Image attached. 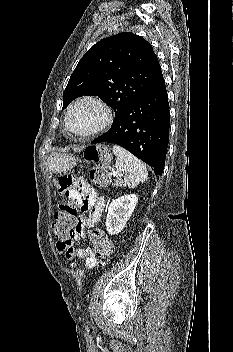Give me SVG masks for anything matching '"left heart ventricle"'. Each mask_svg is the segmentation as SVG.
Instances as JSON below:
<instances>
[{
	"label": "left heart ventricle",
	"instance_id": "obj_1",
	"mask_svg": "<svg viewBox=\"0 0 233 352\" xmlns=\"http://www.w3.org/2000/svg\"><path fill=\"white\" fill-rule=\"evenodd\" d=\"M102 110L95 104L83 103L71 114V125L79 132H85L96 126L102 119Z\"/></svg>",
	"mask_w": 233,
	"mask_h": 352
}]
</instances>
